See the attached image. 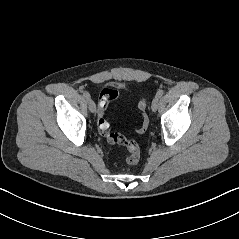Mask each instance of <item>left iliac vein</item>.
<instances>
[{
    "mask_svg": "<svg viewBox=\"0 0 239 239\" xmlns=\"http://www.w3.org/2000/svg\"><path fill=\"white\" fill-rule=\"evenodd\" d=\"M158 104H159V98L155 96L151 105V109L153 112H155L158 109Z\"/></svg>",
    "mask_w": 239,
    "mask_h": 239,
    "instance_id": "obj_1",
    "label": "left iliac vein"
}]
</instances>
